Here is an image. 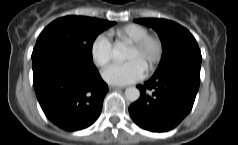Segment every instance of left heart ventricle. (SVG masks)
<instances>
[{"mask_svg":"<svg viewBox=\"0 0 238 145\" xmlns=\"http://www.w3.org/2000/svg\"><path fill=\"white\" fill-rule=\"evenodd\" d=\"M153 53V48L152 46H148L145 48L142 52H137L133 48H129L126 59L132 60L135 59L141 63V65L146 68L148 59Z\"/></svg>","mask_w":238,"mask_h":145,"instance_id":"obj_1","label":"left heart ventricle"}]
</instances>
